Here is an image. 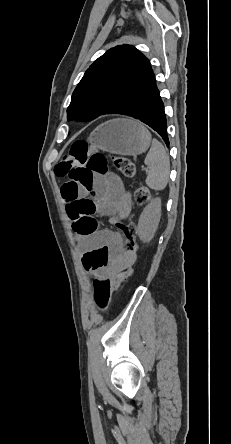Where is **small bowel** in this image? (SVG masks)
<instances>
[{"label":"small bowel","instance_id":"obj_1","mask_svg":"<svg viewBox=\"0 0 231 444\" xmlns=\"http://www.w3.org/2000/svg\"><path fill=\"white\" fill-rule=\"evenodd\" d=\"M62 198L70 216V206L78 200L92 196L96 211L110 218L113 225L125 220L131 211V197L122 180L116 174L96 176L90 188L75 187L67 182L61 189ZM77 242L82 249V262L85 269L95 278L102 279L115 274L127 264L135 261V254L122 251L119 238L108 230L98 231L90 236L77 234Z\"/></svg>","mask_w":231,"mask_h":444}]
</instances>
